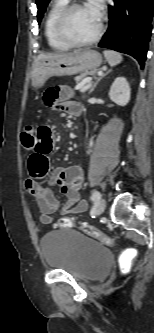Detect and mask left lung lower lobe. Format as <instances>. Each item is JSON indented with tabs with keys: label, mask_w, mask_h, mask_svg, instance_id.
<instances>
[{
	"label": "left lung lower lobe",
	"mask_w": 154,
	"mask_h": 333,
	"mask_svg": "<svg viewBox=\"0 0 154 333\" xmlns=\"http://www.w3.org/2000/svg\"><path fill=\"white\" fill-rule=\"evenodd\" d=\"M154 0H113L109 27L99 47L133 56L144 67L151 37Z\"/></svg>",
	"instance_id": "0a47b994"
}]
</instances>
